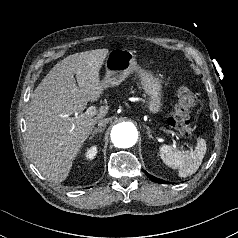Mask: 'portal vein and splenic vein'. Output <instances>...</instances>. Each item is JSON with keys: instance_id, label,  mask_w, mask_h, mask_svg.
<instances>
[{"instance_id": "obj_1", "label": "portal vein and splenic vein", "mask_w": 238, "mask_h": 238, "mask_svg": "<svg viewBox=\"0 0 238 238\" xmlns=\"http://www.w3.org/2000/svg\"><path fill=\"white\" fill-rule=\"evenodd\" d=\"M96 114H97V109H96L95 106H90V107L86 110V112L84 113V115H88V116H94V115H96ZM75 117H77V115H76ZM173 146L176 147V142H175V141H173Z\"/></svg>"}]
</instances>
